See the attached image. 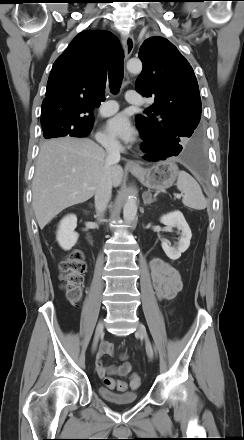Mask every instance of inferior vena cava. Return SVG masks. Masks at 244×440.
Instances as JSON below:
<instances>
[{
    "label": "inferior vena cava",
    "mask_w": 244,
    "mask_h": 440,
    "mask_svg": "<svg viewBox=\"0 0 244 440\" xmlns=\"http://www.w3.org/2000/svg\"><path fill=\"white\" fill-rule=\"evenodd\" d=\"M107 152V166L104 175L102 176L96 191H95V208L97 216L101 217L107 208L108 202L112 194V180L109 174V169L112 164L120 160V146L114 139L107 140L103 143Z\"/></svg>",
    "instance_id": "602c4592"
}]
</instances>
